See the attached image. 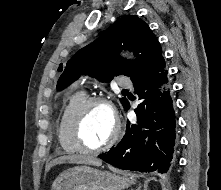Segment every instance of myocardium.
I'll return each mask as SVG.
<instances>
[{
  "instance_id": "myocardium-1",
  "label": "myocardium",
  "mask_w": 221,
  "mask_h": 190,
  "mask_svg": "<svg viewBox=\"0 0 221 190\" xmlns=\"http://www.w3.org/2000/svg\"><path fill=\"white\" fill-rule=\"evenodd\" d=\"M105 105L107 106L113 114L114 117V130L108 141L97 146L90 147L86 145L82 136V127L84 122V117L87 111L94 105ZM121 131V125L117 113L113 107L112 102L105 97H90L84 100L73 112L69 121V134L72 142L76 146L79 152L83 153H99L111 148L119 138Z\"/></svg>"
}]
</instances>
